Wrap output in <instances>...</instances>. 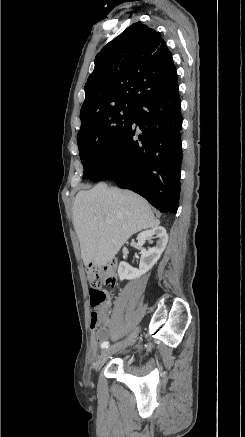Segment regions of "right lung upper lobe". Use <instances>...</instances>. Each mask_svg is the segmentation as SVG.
<instances>
[{"label":"right lung upper lobe","instance_id":"1","mask_svg":"<svg viewBox=\"0 0 245 437\" xmlns=\"http://www.w3.org/2000/svg\"><path fill=\"white\" fill-rule=\"evenodd\" d=\"M178 87L172 54L160 32L137 22L105 45L85 84L81 124L118 104L165 94Z\"/></svg>","mask_w":245,"mask_h":437}]
</instances>
